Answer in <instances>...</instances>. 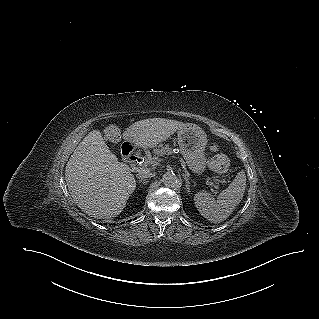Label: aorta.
Segmentation results:
<instances>
[{"label":"aorta","mask_w":319,"mask_h":319,"mask_svg":"<svg viewBox=\"0 0 319 319\" xmlns=\"http://www.w3.org/2000/svg\"><path fill=\"white\" fill-rule=\"evenodd\" d=\"M162 181L167 187H176L178 184V179L172 172L165 173L162 177Z\"/></svg>","instance_id":"obj_1"}]
</instances>
